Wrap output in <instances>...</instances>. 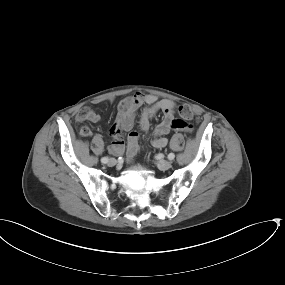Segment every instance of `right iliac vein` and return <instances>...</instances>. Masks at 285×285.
Wrapping results in <instances>:
<instances>
[{
  "label": "right iliac vein",
  "mask_w": 285,
  "mask_h": 285,
  "mask_svg": "<svg viewBox=\"0 0 285 285\" xmlns=\"http://www.w3.org/2000/svg\"><path fill=\"white\" fill-rule=\"evenodd\" d=\"M117 164V160L114 158L109 159L108 165L109 166H115Z\"/></svg>",
  "instance_id": "obj_1"
}]
</instances>
